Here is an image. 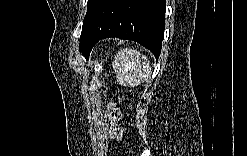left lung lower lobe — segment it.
Segmentation results:
<instances>
[{
    "instance_id": "1",
    "label": "left lung lower lobe",
    "mask_w": 247,
    "mask_h": 156,
    "mask_svg": "<svg viewBox=\"0 0 247 156\" xmlns=\"http://www.w3.org/2000/svg\"><path fill=\"white\" fill-rule=\"evenodd\" d=\"M165 9V0H105L86 31L82 55L88 58L99 40L117 37L136 41L159 57Z\"/></svg>"
}]
</instances>
